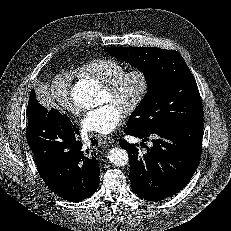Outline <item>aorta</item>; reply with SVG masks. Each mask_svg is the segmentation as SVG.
<instances>
[{
    "mask_svg": "<svg viewBox=\"0 0 231 231\" xmlns=\"http://www.w3.org/2000/svg\"><path fill=\"white\" fill-rule=\"evenodd\" d=\"M99 92L100 88L94 82L80 80L73 86L71 96L80 107L91 108L96 106ZM108 159L113 165L118 167L125 166L129 162L127 151L119 147L112 148L109 151Z\"/></svg>",
    "mask_w": 231,
    "mask_h": 231,
    "instance_id": "obj_1",
    "label": "aorta"
}]
</instances>
